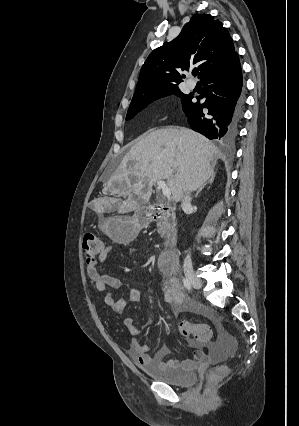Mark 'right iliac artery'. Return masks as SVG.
<instances>
[{
  "mask_svg": "<svg viewBox=\"0 0 299 426\" xmlns=\"http://www.w3.org/2000/svg\"><path fill=\"white\" fill-rule=\"evenodd\" d=\"M183 284H184V286H185V288H186L187 290H191V284H190V282L188 281V279L183 278Z\"/></svg>",
  "mask_w": 299,
  "mask_h": 426,
  "instance_id": "obj_1",
  "label": "right iliac artery"
}]
</instances>
